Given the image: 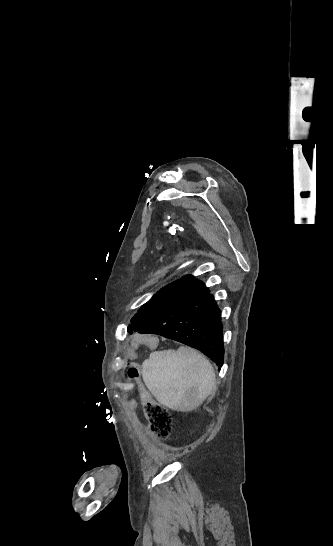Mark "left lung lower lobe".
<instances>
[{"label": "left lung lower lobe", "mask_w": 333, "mask_h": 546, "mask_svg": "<svg viewBox=\"0 0 333 546\" xmlns=\"http://www.w3.org/2000/svg\"><path fill=\"white\" fill-rule=\"evenodd\" d=\"M158 334L194 347L219 367L224 361L221 310L206 286L193 280L189 287L138 328L132 319L128 332Z\"/></svg>", "instance_id": "1"}]
</instances>
